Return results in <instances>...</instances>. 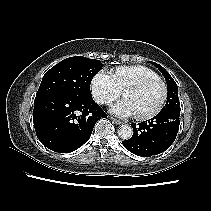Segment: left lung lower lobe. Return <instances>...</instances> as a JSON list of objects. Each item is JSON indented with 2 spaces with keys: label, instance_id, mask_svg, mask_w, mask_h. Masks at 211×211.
<instances>
[{
  "label": "left lung lower lobe",
  "instance_id": "left-lung-lower-lobe-1",
  "mask_svg": "<svg viewBox=\"0 0 211 211\" xmlns=\"http://www.w3.org/2000/svg\"><path fill=\"white\" fill-rule=\"evenodd\" d=\"M179 113L159 112L148 121L131 124L133 136L123 146L138 156L150 157L167 150L174 142L179 129Z\"/></svg>",
  "mask_w": 211,
  "mask_h": 211
}]
</instances>
